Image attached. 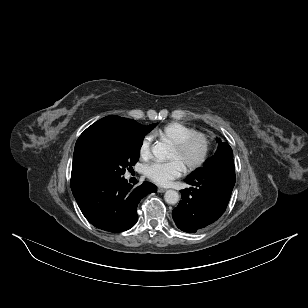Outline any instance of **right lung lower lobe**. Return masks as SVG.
I'll return each instance as SVG.
<instances>
[{"mask_svg":"<svg viewBox=\"0 0 308 308\" xmlns=\"http://www.w3.org/2000/svg\"><path fill=\"white\" fill-rule=\"evenodd\" d=\"M156 191L150 182L133 187L124 177L95 178L72 190L85 218L95 227L115 233L128 230L137 222L139 201Z\"/></svg>","mask_w":308,"mask_h":308,"instance_id":"right-lung-lower-lobe-1","label":"right lung lower lobe"}]
</instances>
